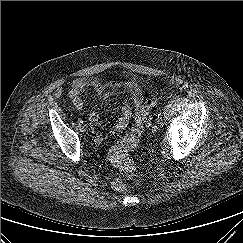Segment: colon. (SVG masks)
<instances>
[{"instance_id":"colon-1","label":"colon","mask_w":243,"mask_h":243,"mask_svg":"<svg viewBox=\"0 0 243 243\" xmlns=\"http://www.w3.org/2000/svg\"><path fill=\"white\" fill-rule=\"evenodd\" d=\"M158 100L149 98L136 110L133 127L120 142L114 145L109 153L108 159L121 170V175L112 180V187L117 191L125 189V179H133L132 159L129 153L138 145L142 132L149 121L150 111L156 106Z\"/></svg>"}]
</instances>
